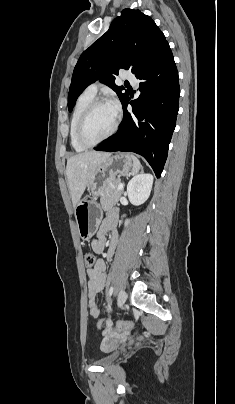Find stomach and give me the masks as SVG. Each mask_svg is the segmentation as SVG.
<instances>
[{
  "label": "stomach",
  "mask_w": 235,
  "mask_h": 404,
  "mask_svg": "<svg viewBox=\"0 0 235 404\" xmlns=\"http://www.w3.org/2000/svg\"><path fill=\"white\" fill-rule=\"evenodd\" d=\"M134 167L130 154H110L97 168L87 184L92 199H82L74 209L78 234L81 239L89 240L95 235L102 220L103 211L96 199L101 195L103 186L117 176H126Z\"/></svg>",
  "instance_id": "stomach-1"
}]
</instances>
